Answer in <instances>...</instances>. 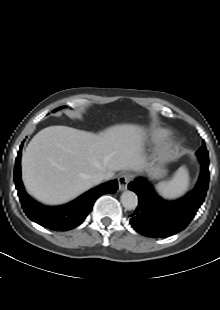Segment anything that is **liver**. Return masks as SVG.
Masks as SVG:
<instances>
[{"label": "liver", "instance_id": "liver-1", "mask_svg": "<svg viewBox=\"0 0 220 310\" xmlns=\"http://www.w3.org/2000/svg\"><path fill=\"white\" fill-rule=\"evenodd\" d=\"M145 131L131 124L115 125L99 134L67 126L38 132L22 158L27 191L45 204H63L94 186L90 177L107 179L119 170H139Z\"/></svg>", "mask_w": 220, "mask_h": 310}]
</instances>
